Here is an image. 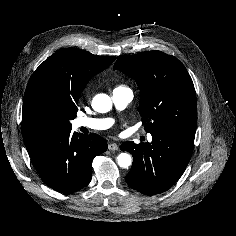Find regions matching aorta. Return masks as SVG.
<instances>
[{
  "label": "aorta",
  "mask_w": 236,
  "mask_h": 236,
  "mask_svg": "<svg viewBox=\"0 0 236 236\" xmlns=\"http://www.w3.org/2000/svg\"><path fill=\"white\" fill-rule=\"evenodd\" d=\"M92 107L97 112L106 113L112 108L111 98L106 94H98L92 102ZM117 163L121 168H128L132 163V158L128 153H121L117 157Z\"/></svg>",
  "instance_id": "obj_1"
}]
</instances>
